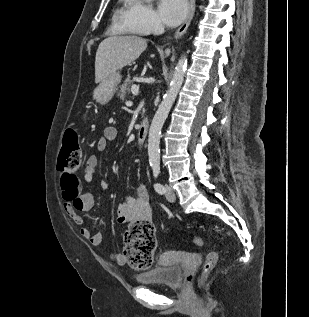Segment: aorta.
I'll return each instance as SVG.
<instances>
[{"instance_id": "aorta-1", "label": "aorta", "mask_w": 309, "mask_h": 317, "mask_svg": "<svg viewBox=\"0 0 309 317\" xmlns=\"http://www.w3.org/2000/svg\"><path fill=\"white\" fill-rule=\"evenodd\" d=\"M186 67L187 57L186 55H183L176 64L169 89L164 95L163 100L152 120L148 136L149 164L152 167H157L160 164L161 130L183 84Z\"/></svg>"}]
</instances>
